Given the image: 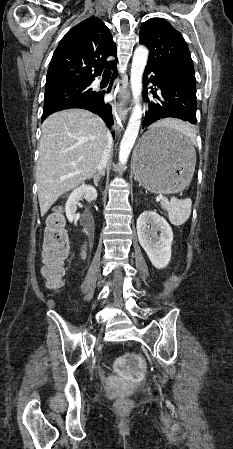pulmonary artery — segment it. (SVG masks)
Wrapping results in <instances>:
<instances>
[{"instance_id":"pulmonary-artery-1","label":"pulmonary artery","mask_w":233,"mask_h":449,"mask_svg":"<svg viewBox=\"0 0 233 449\" xmlns=\"http://www.w3.org/2000/svg\"><path fill=\"white\" fill-rule=\"evenodd\" d=\"M98 83V81H95V84H97Z\"/></svg>"}]
</instances>
